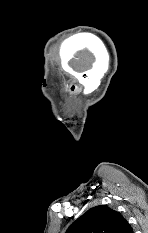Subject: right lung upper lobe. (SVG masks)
I'll return each instance as SVG.
<instances>
[{"mask_svg":"<svg viewBox=\"0 0 148 233\" xmlns=\"http://www.w3.org/2000/svg\"><path fill=\"white\" fill-rule=\"evenodd\" d=\"M66 233H133V230L119 212L101 205L80 216Z\"/></svg>","mask_w":148,"mask_h":233,"instance_id":"obj_1","label":"right lung upper lobe"}]
</instances>
